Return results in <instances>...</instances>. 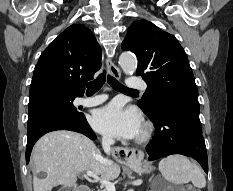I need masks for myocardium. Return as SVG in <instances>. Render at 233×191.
Returning a JSON list of instances; mask_svg holds the SVG:
<instances>
[{"label": "myocardium", "mask_w": 233, "mask_h": 191, "mask_svg": "<svg viewBox=\"0 0 233 191\" xmlns=\"http://www.w3.org/2000/svg\"><path fill=\"white\" fill-rule=\"evenodd\" d=\"M152 133H153L152 125L149 122H145L142 126L141 133L136 139V143L137 144L147 143L151 139Z\"/></svg>", "instance_id": "1"}]
</instances>
